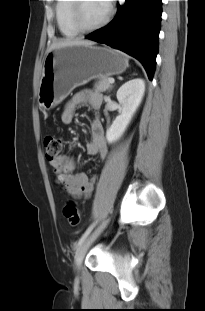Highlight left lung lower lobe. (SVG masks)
Wrapping results in <instances>:
<instances>
[{"mask_svg": "<svg viewBox=\"0 0 205 311\" xmlns=\"http://www.w3.org/2000/svg\"><path fill=\"white\" fill-rule=\"evenodd\" d=\"M161 0H126L105 27L86 36L138 59L152 80L158 53Z\"/></svg>", "mask_w": 205, "mask_h": 311, "instance_id": "0a47b994", "label": "left lung lower lobe"}]
</instances>
